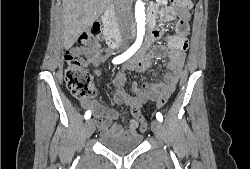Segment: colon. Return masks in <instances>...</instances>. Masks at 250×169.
<instances>
[{
    "label": "colon",
    "mask_w": 250,
    "mask_h": 169,
    "mask_svg": "<svg viewBox=\"0 0 250 169\" xmlns=\"http://www.w3.org/2000/svg\"><path fill=\"white\" fill-rule=\"evenodd\" d=\"M176 6L190 7L188 0H178ZM178 30L180 33H186L187 23L184 20H180L177 23ZM102 33L101 25L96 22L88 31L82 34H77L76 43L83 46H90L94 39L100 36ZM65 83L70 92L79 99L90 98L94 94L92 78L89 72L84 69L79 59L73 54V50H67L65 55ZM162 95H170V93H162ZM168 101L167 97H159L157 108H162V104H166ZM132 116L139 120L140 131L145 132L147 130V124L144 122L143 113L140 111L142 103H131L130 104Z\"/></svg>",
    "instance_id": "obj_1"
}]
</instances>
